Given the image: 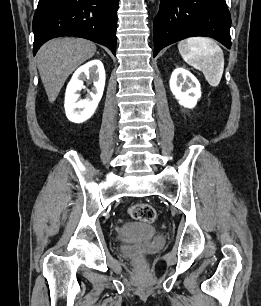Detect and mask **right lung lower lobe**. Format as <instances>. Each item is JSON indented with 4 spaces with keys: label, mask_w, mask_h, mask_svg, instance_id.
Listing matches in <instances>:
<instances>
[{
    "label": "right lung lower lobe",
    "mask_w": 261,
    "mask_h": 306,
    "mask_svg": "<svg viewBox=\"0 0 261 306\" xmlns=\"http://www.w3.org/2000/svg\"><path fill=\"white\" fill-rule=\"evenodd\" d=\"M119 0H39L33 18V55L60 36L86 38L116 53Z\"/></svg>",
    "instance_id": "obj_1"
}]
</instances>
